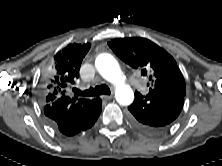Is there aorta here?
<instances>
[{"mask_svg": "<svg viewBox=\"0 0 222 166\" xmlns=\"http://www.w3.org/2000/svg\"><path fill=\"white\" fill-rule=\"evenodd\" d=\"M100 75L115 86V98L120 105H130L134 100L131 87L124 83L123 75L116 59L108 54H100L95 61Z\"/></svg>", "mask_w": 222, "mask_h": 166, "instance_id": "1", "label": "aorta"}]
</instances>
